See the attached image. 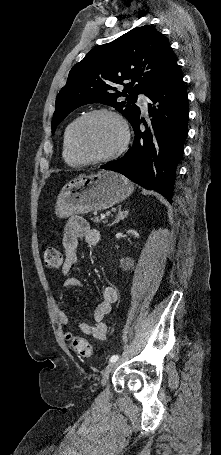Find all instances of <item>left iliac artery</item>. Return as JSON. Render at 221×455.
Returning <instances> with one entry per match:
<instances>
[{
    "label": "left iliac artery",
    "mask_w": 221,
    "mask_h": 455,
    "mask_svg": "<svg viewBox=\"0 0 221 455\" xmlns=\"http://www.w3.org/2000/svg\"><path fill=\"white\" fill-rule=\"evenodd\" d=\"M119 359V355H113L111 356V358L109 359L110 362H115Z\"/></svg>",
    "instance_id": "left-iliac-artery-1"
}]
</instances>
